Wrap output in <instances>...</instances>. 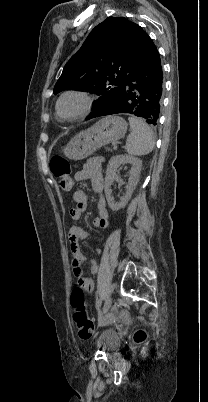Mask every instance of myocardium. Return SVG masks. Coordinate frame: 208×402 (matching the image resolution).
<instances>
[{
    "label": "myocardium",
    "instance_id": "myocardium-1",
    "mask_svg": "<svg viewBox=\"0 0 208 402\" xmlns=\"http://www.w3.org/2000/svg\"><path fill=\"white\" fill-rule=\"evenodd\" d=\"M72 95L80 96V97L84 98L85 106L82 109V111H80L78 114L70 116V117H65L60 112V104L66 97L72 96ZM94 101H95L94 97L91 94H89L88 92H86V91H82V90H66L58 97V99L56 101L55 115L60 121H63V122H69V121H74V120L81 119V118L87 116L91 112V110H92V108L94 106Z\"/></svg>",
    "mask_w": 208,
    "mask_h": 402
}]
</instances>
